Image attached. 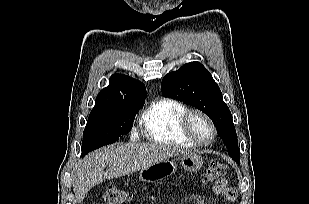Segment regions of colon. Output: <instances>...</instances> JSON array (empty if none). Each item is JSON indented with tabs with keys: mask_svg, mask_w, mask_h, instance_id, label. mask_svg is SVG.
<instances>
[{
	"mask_svg": "<svg viewBox=\"0 0 309 204\" xmlns=\"http://www.w3.org/2000/svg\"><path fill=\"white\" fill-rule=\"evenodd\" d=\"M227 172L226 165L220 159H213L202 176L204 183H216L223 179ZM105 204H127L131 199V194L116 186H108L103 194Z\"/></svg>",
	"mask_w": 309,
	"mask_h": 204,
	"instance_id": "5ec220e1",
	"label": "colon"
}]
</instances>
